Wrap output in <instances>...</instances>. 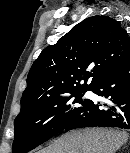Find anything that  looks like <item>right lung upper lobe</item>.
<instances>
[{
    "label": "right lung upper lobe",
    "mask_w": 130,
    "mask_h": 153,
    "mask_svg": "<svg viewBox=\"0 0 130 153\" xmlns=\"http://www.w3.org/2000/svg\"><path fill=\"white\" fill-rule=\"evenodd\" d=\"M128 61L130 39L119 23L108 16L86 18L34 61L19 115L47 101L92 90L103 76Z\"/></svg>",
    "instance_id": "1"
}]
</instances>
